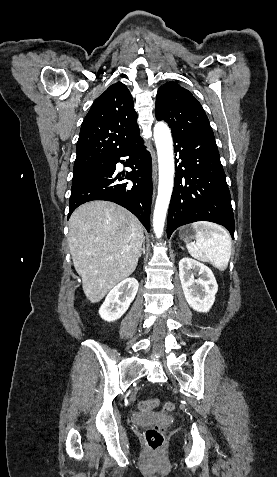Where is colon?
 <instances>
[{"label":"colon","instance_id":"colon-1","mask_svg":"<svg viewBox=\"0 0 277 477\" xmlns=\"http://www.w3.org/2000/svg\"><path fill=\"white\" fill-rule=\"evenodd\" d=\"M159 404L157 399L145 400L139 403V409L143 412H147L152 408L156 407ZM173 404L171 402H167L165 404V409L170 411L173 409ZM166 428L162 425H154L149 427L145 433V441L147 446L153 450L158 451L164 442Z\"/></svg>","mask_w":277,"mask_h":477}]
</instances>
